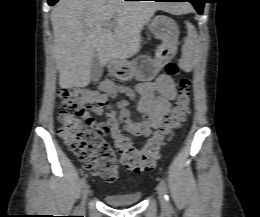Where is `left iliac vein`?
Wrapping results in <instances>:
<instances>
[{
  "instance_id": "4c4485c4",
  "label": "left iliac vein",
  "mask_w": 260,
  "mask_h": 217,
  "mask_svg": "<svg viewBox=\"0 0 260 217\" xmlns=\"http://www.w3.org/2000/svg\"><path fill=\"white\" fill-rule=\"evenodd\" d=\"M157 191H158V198H159L160 205L163 209H166L167 208V202L165 200V197H164L165 192H164V189H163L161 184L157 187Z\"/></svg>"
}]
</instances>
